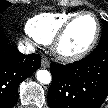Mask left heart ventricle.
<instances>
[{"mask_svg":"<svg viewBox=\"0 0 108 108\" xmlns=\"http://www.w3.org/2000/svg\"><path fill=\"white\" fill-rule=\"evenodd\" d=\"M94 33V19L90 16L82 17L69 30L62 43V49L70 53L78 52L90 43Z\"/></svg>","mask_w":108,"mask_h":108,"instance_id":"1","label":"left heart ventricle"}]
</instances>
